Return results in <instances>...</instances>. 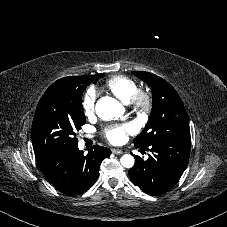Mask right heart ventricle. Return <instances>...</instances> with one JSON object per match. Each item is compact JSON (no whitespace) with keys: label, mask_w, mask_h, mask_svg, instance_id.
Returning <instances> with one entry per match:
<instances>
[{"label":"right heart ventricle","mask_w":227,"mask_h":227,"mask_svg":"<svg viewBox=\"0 0 227 227\" xmlns=\"http://www.w3.org/2000/svg\"><path fill=\"white\" fill-rule=\"evenodd\" d=\"M102 90L112 94L122 103H128L131 96L137 90V84L127 76L116 75L108 79L102 86Z\"/></svg>","instance_id":"e07e8e85"}]
</instances>
